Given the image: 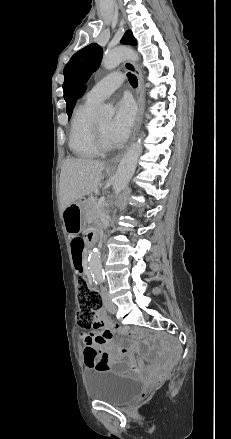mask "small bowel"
Listing matches in <instances>:
<instances>
[{
    "mask_svg": "<svg viewBox=\"0 0 231 439\" xmlns=\"http://www.w3.org/2000/svg\"><path fill=\"white\" fill-rule=\"evenodd\" d=\"M71 208V207H69ZM67 208V209H69ZM91 234L88 235V240ZM72 244V254L76 261L79 260L83 251V243L81 240ZM93 331L82 334V354L84 362L88 368L95 369V365L99 361L107 363L105 369L123 370L135 366V360L130 351L126 347L115 348L113 346V334L111 332L110 323L103 309H99L96 313L95 322L92 326ZM92 354V366L87 362V354ZM100 356V358H98Z\"/></svg>",
    "mask_w": 231,
    "mask_h": 439,
    "instance_id": "c3829d8e",
    "label": "small bowel"
}]
</instances>
